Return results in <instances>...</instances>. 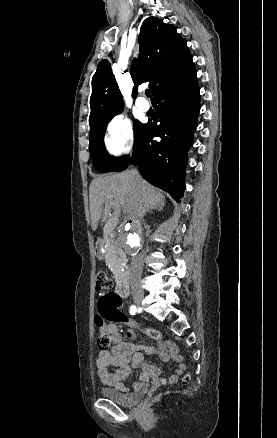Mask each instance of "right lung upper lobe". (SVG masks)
I'll return each mask as SVG.
<instances>
[{"label": "right lung upper lobe", "mask_w": 277, "mask_h": 438, "mask_svg": "<svg viewBox=\"0 0 277 438\" xmlns=\"http://www.w3.org/2000/svg\"><path fill=\"white\" fill-rule=\"evenodd\" d=\"M141 55L134 60L130 74L135 84V98L139 84L149 82L152 97L159 89L191 72L195 65L192 55L173 25L165 24L156 17L144 20L140 29ZM122 94L115 81L108 60H102L92 78L89 124L111 120L123 110Z\"/></svg>", "instance_id": "obj_1"}]
</instances>
